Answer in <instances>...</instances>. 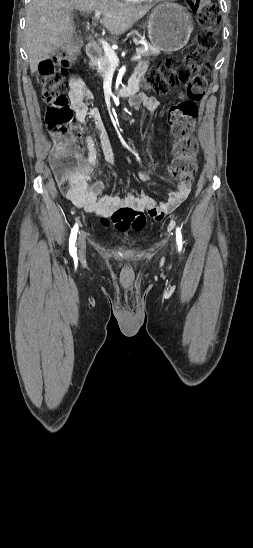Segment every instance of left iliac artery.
<instances>
[{"label": "left iliac artery", "instance_id": "44dca946", "mask_svg": "<svg viewBox=\"0 0 253 548\" xmlns=\"http://www.w3.org/2000/svg\"><path fill=\"white\" fill-rule=\"evenodd\" d=\"M176 242H177V245H178V250L181 251L182 246H183V242H182V234H181L180 228L176 229Z\"/></svg>", "mask_w": 253, "mask_h": 548}]
</instances>
